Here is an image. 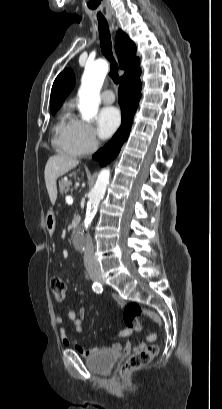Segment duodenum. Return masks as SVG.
<instances>
[{"mask_svg": "<svg viewBox=\"0 0 222 409\" xmlns=\"http://www.w3.org/2000/svg\"><path fill=\"white\" fill-rule=\"evenodd\" d=\"M79 223H80V220H79L78 218H75V219H73V221H72V224H73L74 226L79 225Z\"/></svg>", "mask_w": 222, "mask_h": 409, "instance_id": "obj_1", "label": "duodenum"}]
</instances>
